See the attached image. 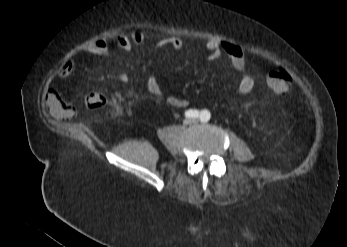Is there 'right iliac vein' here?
<instances>
[{
  "mask_svg": "<svg viewBox=\"0 0 347 247\" xmlns=\"http://www.w3.org/2000/svg\"><path fill=\"white\" fill-rule=\"evenodd\" d=\"M190 124H192V121L189 120V119H186V120H184V122H183V125H184V126H188V125H190Z\"/></svg>",
  "mask_w": 347,
  "mask_h": 247,
  "instance_id": "63e3f726",
  "label": "right iliac vein"
}]
</instances>
